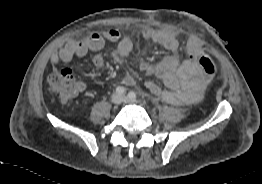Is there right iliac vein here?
<instances>
[{"mask_svg":"<svg viewBox=\"0 0 262 184\" xmlns=\"http://www.w3.org/2000/svg\"><path fill=\"white\" fill-rule=\"evenodd\" d=\"M111 101L115 105H119L122 102V97L118 93H114L111 97Z\"/></svg>","mask_w":262,"mask_h":184,"instance_id":"right-iliac-vein-1","label":"right iliac vein"}]
</instances>
